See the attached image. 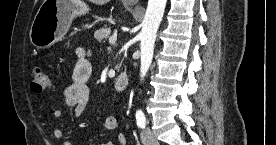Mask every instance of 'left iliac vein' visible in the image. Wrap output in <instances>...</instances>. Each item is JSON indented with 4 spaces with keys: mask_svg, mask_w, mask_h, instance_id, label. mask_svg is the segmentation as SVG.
<instances>
[{
    "mask_svg": "<svg viewBox=\"0 0 276 145\" xmlns=\"http://www.w3.org/2000/svg\"><path fill=\"white\" fill-rule=\"evenodd\" d=\"M141 140L144 145H157L158 140L156 139L153 131L146 127L141 131Z\"/></svg>",
    "mask_w": 276,
    "mask_h": 145,
    "instance_id": "left-iliac-vein-1",
    "label": "left iliac vein"
}]
</instances>
